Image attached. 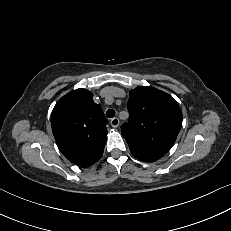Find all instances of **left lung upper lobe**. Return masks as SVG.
Wrapping results in <instances>:
<instances>
[{"label": "left lung upper lobe", "instance_id": "left-lung-upper-lobe-1", "mask_svg": "<svg viewBox=\"0 0 231 231\" xmlns=\"http://www.w3.org/2000/svg\"><path fill=\"white\" fill-rule=\"evenodd\" d=\"M129 121L122 135L131 153L149 161L165 155L174 144L182 125V112L169 94L150 86L130 91Z\"/></svg>", "mask_w": 231, "mask_h": 231}]
</instances>
